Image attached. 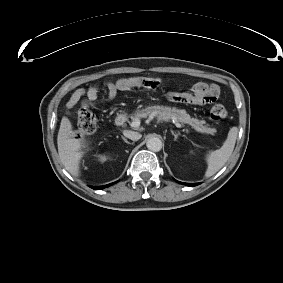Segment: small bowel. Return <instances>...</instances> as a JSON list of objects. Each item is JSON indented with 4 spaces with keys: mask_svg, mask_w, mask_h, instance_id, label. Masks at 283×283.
<instances>
[{
    "mask_svg": "<svg viewBox=\"0 0 283 283\" xmlns=\"http://www.w3.org/2000/svg\"><path fill=\"white\" fill-rule=\"evenodd\" d=\"M148 83L156 85L158 81L149 80ZM136 84V80L131 77H123L114 82H108L105 84L108 98L113 100L120 91L134 87ZM98 94L99 89L97 86H91L87 89L79 88L73 92L66 104V107L68 109L73 108L82 100L83 97H85V100L88 104L93 105L98 98ZM217 95L218 87L216 85L197 83L193 88V94L189 97L181 93H171L169 94L168 98L172 101L180 103H188L192 100L196 105H202L204 103L214 101Z\"/></svg>",
    "mask_w": 283,
    "mask_h": 283,
    "instance_id": "small-bowel-1",
    "label": "small bowel"
}]
</instances>
